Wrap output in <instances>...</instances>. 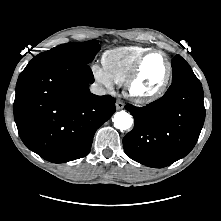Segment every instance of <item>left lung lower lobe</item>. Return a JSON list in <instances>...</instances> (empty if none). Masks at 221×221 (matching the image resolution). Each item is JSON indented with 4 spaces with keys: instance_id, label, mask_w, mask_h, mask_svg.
<instances>
[{
    "instance_id": "left-lung-lower-lobe-1",
    "label": "left lung lower lobe",
    "mask_w": 221,
    "mask_h": 221,
    "mask_svg": "<svg viewBox=\"0 0 221 221\" xmlns=\"http://www.w3.org/2000/svg\"><path fill=\"white\" fill-rule=\"evenodd\" d=\"M125 108L135 125L123 138L124 151L153 168L185 157L195 146L205 119L203 89L195 74L173 81L163 97L147 106Z\"/></svg>"
}]
</instances>
